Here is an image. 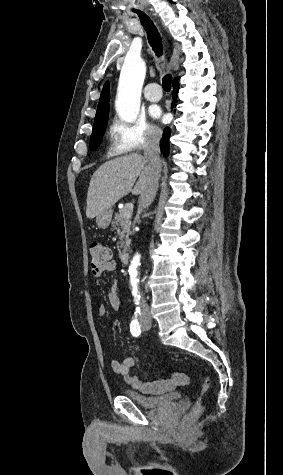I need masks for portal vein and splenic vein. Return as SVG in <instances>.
I'll list each match as a JSON object with an SVG mask.
<instances>
[{
  "mask_svg": "<svg viewBox=\"0 0 283 475\" xmlns=\"http://www.w3.org/2000/svg\"><path fill=\"white\" fill-rule=\"evenodd\" d=\"M126 206H127L128 210H131V212H132V210H133L132 204H126Z\"/></svg>",
  "mask_w": 283,
  "mask_h": 475,
  "instance_id": "18ae733b",
  "label": "portal vein and splenic vein"
}]
</instances>
